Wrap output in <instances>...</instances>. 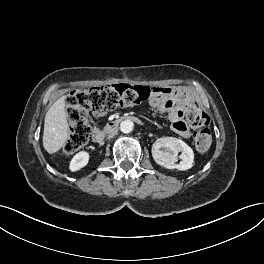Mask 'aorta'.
Returning <instances> with one entry per match:
<instances>
[{
  "label": "aorta",
  "instance_id": "obj_1",
  "mask_svg": "<svg viewBox=\"0 0 264 264\" xmlns=\"http://www.w3.org/2000/svg\"><path fill=\"white\" fill-rule=\"evenodd\" d=\"M133 129L134 123L131 120H124L120 124V130L125 134L132 132Z\"/></svg>",
  "mask_w": 264,
  "mask_h": 264
}]
</instances>
